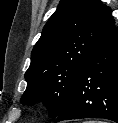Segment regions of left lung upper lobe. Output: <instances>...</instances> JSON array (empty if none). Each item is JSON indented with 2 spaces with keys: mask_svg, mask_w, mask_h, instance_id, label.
Segmentation results:
<instances>
[{
  "mask_svg": "<svg viewBox=\"0 0 118 123\" xmlns=\"http://www.w3.org/2000/svg\"><path fill=\"white\" fill-rule=\"evenodd\" d=\"M114 24L111 9L100 0H61L32 50L21 102L44 100L49 116L57 118L84 65Z\"/></svg>",
  "mask_w": 118,
  "mask_h": 123,
  "instance_id": "1",
  "label": "left lung upper lobe"
}]
</instances>
